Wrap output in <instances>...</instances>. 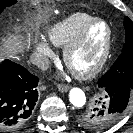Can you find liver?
Listing matches in <instances>:
<instances>
[{
    "mask_svg": "<svg viewBox=\"0 0 133 133\" xmlns=\"http://www.w3.org/2000/svg\"><path fill=\"white\" fill-rule=\"evenodd\" d=\"M23 37L21 35L8 34L1 41L2 46L0 47V60L1 57H7L10 59L17 58V54L23 50Z\"/></svg>",
    "mask_w": 133,
    "mask_h": 133,
    "instance_id": "6515ba94",
    "label": "liver"
}]
</instances>
